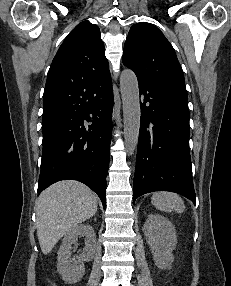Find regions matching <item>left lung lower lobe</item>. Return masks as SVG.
<instances>
[{
    "mask_svg": "<svg viewBox=\"0 0 231 286\" xmlns=\"http://www.w3.org/2000/svg\"><path fill=\"white\" fill-rule=\"evenodd\" d=\"M143 95L133 202L146 193L171 191L194 204L187 92L138 80Z\"/></svg>",
    "mask_w": 231,
    "mask_h": 286,
    "instance_id": "0a47b994",
    "label": "left lung lower lobe"
}]
</instances>
